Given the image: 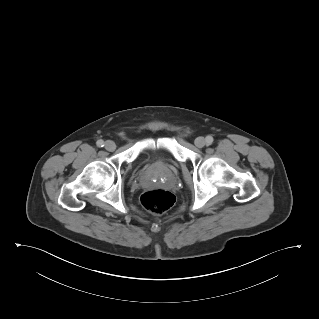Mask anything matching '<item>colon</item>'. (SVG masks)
<instances>
[{
	"label": "colon",
	"instance_id": "5ec220e1",
	"mask_svg": "<svg viewBox=\"0 0 319 319\" xmlns=\"http://www.w3.org/2000/svg\"><path fill=\"white\" fill-rule=\"evenodd\" d=\"M140 201L148 212L159 215L174 205L175 196L167 190L151 189L141 195Z\"/></svg>",
	"mask_w": 319,
	"mask_h": 319
}]
</instances>
